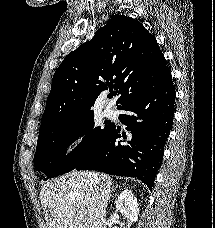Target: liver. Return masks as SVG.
Returning a JSON list of instances; mask_svg holds the SVG:
<instances>
[{"instance_id": "obj_1", "label": "liver", "mask_w": 215, "mask_h": 228, "mask_svg": "<svg viewBox=\"0 0 215 228\" xmlns=\"http://www.w3.org/2000/svg\"><path fill=\"white\" fill-rule=\"evenodd\" d=\"M90 174L95 172H70L42 186L39 196L47 228H106L112 178L96 174L100 182H95Z\"/></svg>"}]
</instances>
